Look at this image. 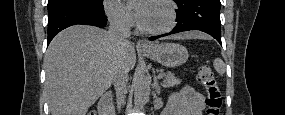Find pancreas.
<instances>
[{
  "label": "pancreas",
  "mask_w": 285,
  "mask_h": 115,
  "mask_svg": "<svg viewBox=\"0 0 285 115\" xmlns=\"http://www.w3.org/2000/svg\"><path fill=\"white\" fill-rule=\"evenodd\" d=\"M161 74H163L164 77L162 85L165 88L174 87L181 83V80L175 77L173 74H166L163 71H161Z\"/></svg>",
  "instance_id": "obj_1"
}]
</instances>
